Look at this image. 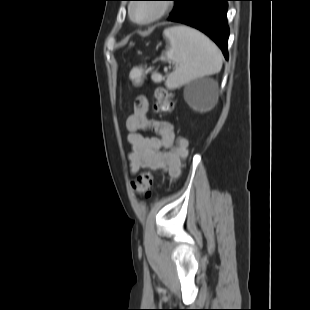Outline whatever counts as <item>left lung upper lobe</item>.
Segmentation results:
<instances>
[{"mask_svg":"<svg viewBox=\"0 0 310 310\" xmlns=\"http://www.w3.org/2000/svg\"><path fill=\"white\" fill-rule=\"evenodd\" d=\"M172 1H175V6L169 17V20H173L179 14V12L182 10L186 2V0H172Z\"/></svg>","mask_w":310,"mask_h":310,"instance_id":"obj_1","label":"left lung upper lobe"}]
</instances>
